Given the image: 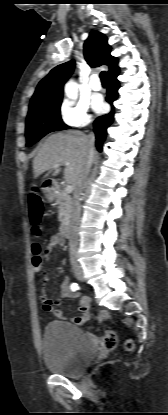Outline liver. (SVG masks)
<instances>
[{"instance_id": "obj_1", "label": "liver", "mask_w": 168, "mask_h": 415, "mask_svg": "<svg viewBox=\"0 0 168 415\" xmlns=\"http://www.w3.org/2000/svg\"><path fill=\"white\" fill-rule=\"evenodd\" d=\"M88 136L81 131H66L50 135L33 160L35 177L45 171L55 168L54 176L60 169L54 164L69 163L64 170V179L67 184L75 188L88 158ZM97 158L94 151L92 161Z\"/></svg>"}]
</instances>
